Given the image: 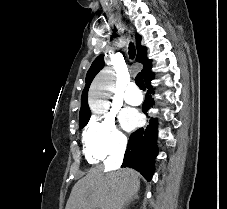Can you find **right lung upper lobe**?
I'll list each match as a JSON object with an SVG mask.
<instances>
[{
  "mask_svg": "<svg viewBox=\"0 0 227 209\" xmlns=\"http://www.w3.org/2000/svg\"><path fill=\"white\" fill-rule=\"evenodd\" d=\"M141 36L136 34V47H137V62H140L143 64V69L141 71L144 79L150 77L152 75L151 72V60L147 59L146 56V48L141 46ZM104 66V59L103 55H99L94 62L92 63L91 67L89 68L87 75H86V85L85 88L82 92V97H81V108H80V118H86L90 117V109L87 103V93L89 86L95 77V75L103 68Z\"/></svg>",
  "mask_w": 227,
  "mask_h": 209,
  "instance_id": "1",
  "label": "right lung upper lobe"
}]
</instances>
